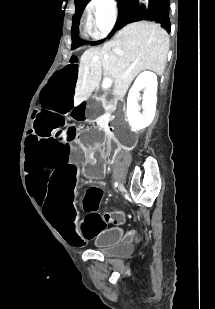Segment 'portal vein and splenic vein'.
Instances as JSON below:
<instances>
[{"instance_id":"obj_1","label":"portal vein and splenic vein","mask_w":215,"mask_h":309,"mask_svg":"<svg viewBox=\"0 0 215 309\" xmlns=\"http://www.w3.org/2000/svg\"><path fill=\"white\" fill-rule=\"evenodd\" d=\"M112 84V78H104L102 82L103 88H108V86H111Z\"/></svg>"}]
</instances>
